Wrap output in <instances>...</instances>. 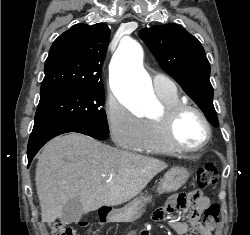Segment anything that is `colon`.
Returning <instances> with one entry per match:
<instances>
[{
	"label": "colon",
	"mask_w": 250,
	"mask_h": 235,
	"mask_svg": "<svg viewBox=\"0 0 250 235\" xmlns=\"http://www.w3.org/2000/svg\"><path fill=\"white\" fill-rule=\"evenodd\" d=\"M218 181V172L214 165L200 167L196 173L192 191L183 199L195 203L200 198V190L215 185ZM219 205L208 206L203 215V222L207 225H216L219 221ZM50 235H76V229L62 221L47 222Z\"/></svg>",
	"instance_id": "1"
}]
</instances>
